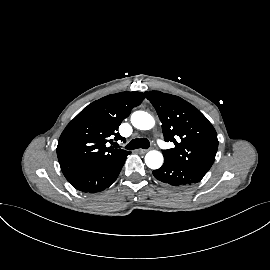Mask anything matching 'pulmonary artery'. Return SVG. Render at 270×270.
Instances as JSON below:
<instances>
[{
  "label": "pulmonary artery",
  "instance_id": "pulmonary-artery-1",
  "mask_svg": "<svg viewBox=\"0 0 270 270\" xmlns=\"http://www.w3.org/2000/svg\"><path fill=\"white\" fill-rule=\"evenodd\" d=\"M161 146H164V143L163 142H159Z\"/></svg>",
  "mask_w": 270,
  "mask_h": 270
}]
</instances>
